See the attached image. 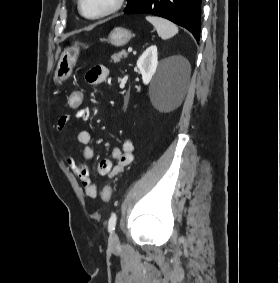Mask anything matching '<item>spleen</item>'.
Returning <instances> with one entry per match:
<instances>
[{"mask_svg": "<svg viewBox=\"0 0 280 283\" xmlns=\"http://www.w3.org/2000/svg\"><path fill=\"white\" fill-rule=\"evenodd\" d=\"M146 20L155 27L158 35L164 40L178 33V27L167 19L157 16H147Z\"/></svg>", "mask_w": 280, "mask_h": 283, "instance_id": "obj_1", "label": "spleen"}]
</instances>
